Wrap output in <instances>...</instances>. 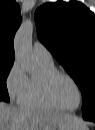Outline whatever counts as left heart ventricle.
<instances>
[{
	"label": "left heart ventricle",
	"mask_w": 95,
	"mask_h": 130,
	"mask_svg": "<svg viewBox=\"0 0 95 130\" xmlns=\"http://www.w3.org/2000/svg\"><path fill=\"white\" fill-rule=\"evenodd\" d=\"M53 95L58 103L66 108H75L79 103V92L76 86L64 77L54 83Z\"/></svg>",
	"instance_id": "obj_1"
}]
</instances>
